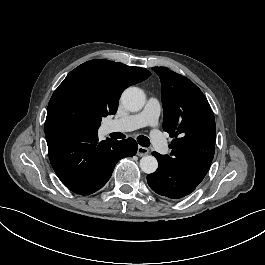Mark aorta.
Here are the masks:
<instances>
[{
    "mask_svg": "<svg viewBox=\"0 0 265 265\" xmlns=\"http://www.w3.org/2000/svg\"><path fill=\"white\" fill-rule=\"evenodd\" d=\"M122 105L130 112L141 110L146 103V94L141 88L129 87L121 96ZM140 168L146 174L154 173L158 168V162L154 156L146 155L140 160Z\"/></svg>",
    "mask_w": 265,
    "mask_h": 265,
    "instance_id": "obj_1",
    "label": "aorta"
}]
</instances>
